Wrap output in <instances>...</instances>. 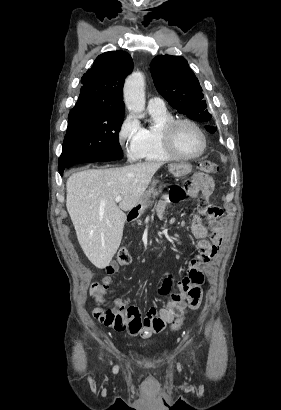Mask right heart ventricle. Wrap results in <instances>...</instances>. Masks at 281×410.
<instances>
[{"mask_svg": "<svg viewBox=\"0 0 281 410\" xmlns=\"http://www.w3.org/2000/svg\"><path fill=\"white\" fill-rule=\"evenodd\" d=\"M152 123L144 128L143 140L138 159L149 162H167L175 158L165 149L161 139L162 127L173 118L172 114L165 109L149 110Z\"/></svg>", "mask_w": 281, "mask_h": 410, "instance_id": "right-heart-ventricle-1", "label": "right heart ventricle"}]
</instances>
